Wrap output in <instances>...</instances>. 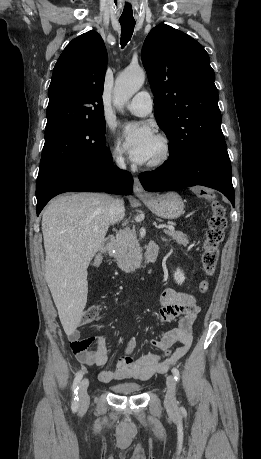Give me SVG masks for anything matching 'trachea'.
<instances>
[{"label":"trachea","mask_w":261,"mask_h":459,"mask_svg":"<svg viewBox=\"0 0 261 459\" xmlns=\"http://www.w3.org/2000/svg\"><path fill=\"white\" fill-rule=\"evenodd\" d=\"M121 24V38H120V43L122 47H125L126 44L130 41L134 26H135V21L134 20H120Z\"/></svg>","instance_id":"3493384b"}]
</instances>
